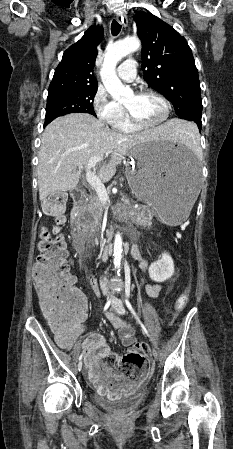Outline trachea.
<instances>
[{
    "instance_id": "trachea-1",
    "label": "trachea",
    "mask_w": 233,
    "mask_h": 449,
    "mask_svg": "<svg viewBox=\"0 0 233 449\" xmlns=\"http://www.w3.org/2000/svg\"><path fill=\"white\" fill-rule=\"evenodd\" d=\"M120 30H121V25L116 20H113L112 24H111V33H112V35L113 36L118 35Z\"/></svg>"
}]
</instances>
